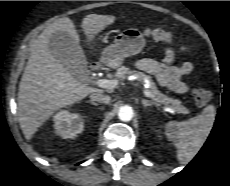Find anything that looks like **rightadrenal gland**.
<instances>
[{
	"mask_svg": "<svg viewBox=\"0 0 230 186\" xmlns=\"http://www.w3.org/2000/svg\"><path fill=\"white\" fill-rule=\"evenodd\" d=\"M89 103H91L92 105H94V106H98L99 104H97V103H95V102H93V101H89Z\"/></svg>",
	"mask_w": 230,
	"mask_h": 186,
	"instance_id": "obj_1",
	"label": "right adrenal gland"
}]
</instances>
